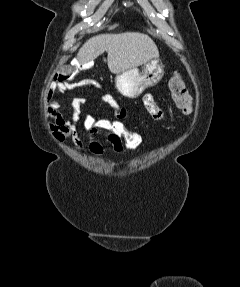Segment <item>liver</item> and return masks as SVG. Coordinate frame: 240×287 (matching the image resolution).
Listing matches in <instances>:
<instances>
[{"mask_svg":"<svg viewBox=\"0 0 240 287\" xmlns=\"http://www.w3.org/2000/svg\"><path fill=\"white\" fill-rule=\"evenodd\" d=\"M105 51L108 53V68L114 74L159 57L158 48L148 35L125 32L91 37L80 48L77 60L81 65H89Z\"/></svg>","mask_w":240,"mask_h":287,"instance_id":"obj_1","label":"liver"}]
</instances>
